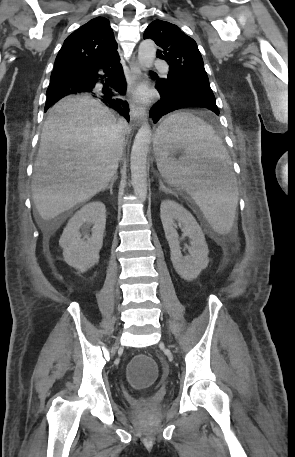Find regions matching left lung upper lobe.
<instances>
[{
	"instance_id": "5c2ea615",
	"label": "left lung upper lobe",
	"mask_w": 295,
	"mask_h": 457,
	"mask_svg": "<svg viewBox=\"0 0 295 457\" xmlns=\"http://www.w3.org/2000/svg\"><path fill=\"white\" fill-rule=\"evenodd\" d=\"M143 37L154 40L160 48L157 57L169 64L168 78L158 82L161 87L172 86L187 92L212 91L196 42L178 26L155 20L148 25Z\"/></svg>"
}]
</instances>
